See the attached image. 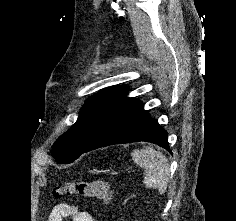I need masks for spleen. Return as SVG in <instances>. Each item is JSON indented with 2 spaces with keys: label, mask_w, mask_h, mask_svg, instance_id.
Here are the masks:
<instances>
[{
  "label": "spleen",
  "mask_w": 236,
  "mask_h": 221,
  "mask_svg": "<svg viewBox=\"0 0 236 221\" xmlns=\"http://www.w3.org/2000/svg\"><path fill=\"white\" fill-rule=\"evenodd\" d=\"M131 156L134 162L146 171L145 185L148 188L164 192L167 189L170 177V166L167 157L151 147H144L141 150L135 149Z\"/></svg>",
  "instance_id": "1"
}]
</instances>
